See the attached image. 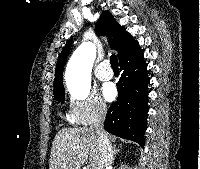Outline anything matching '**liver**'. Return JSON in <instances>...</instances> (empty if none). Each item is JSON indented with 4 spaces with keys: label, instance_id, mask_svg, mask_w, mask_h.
Segmentation results:
<instances>
[{
    "label": "liver",
    "instance_id": "6515ba94",
    "mask_svg": "<svg viewBox=\"0 0 200 169\" xmlns=\"http://www.w3.org/2000/svg\"><path fill=\"white\" fill-rule=\"evenodd\" d=\"M99 157L98 137L91 128H63L53 140L49 169H80L87 160L97 164Z\"/></svg>",
    "mask_w": 200,
    "mask_h": 169
}]
</instances>
